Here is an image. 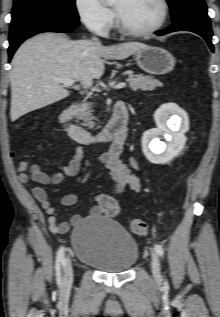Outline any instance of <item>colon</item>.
Wrapping results in <instances>:
<instances>
[{
  "mask_svg": "<svg viewBox=\"0 0 220 317\" xmlns=\"http://www.w3.org/2000/svg\"><path fill=\"white\" fill-rule=\"evenodd\" d=\"M103 212L108 217H116L120 212V206L114 198L108 197L103 202ZM130 228L133 233L138 235H144L148 230L146 221L140 218L131 220Z\"/></svg>",
  "mask_w": 220,
  "mask_h": 317,
  "instance_id": "obj_1",
  "label": "colon"
}]
</instances>
